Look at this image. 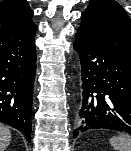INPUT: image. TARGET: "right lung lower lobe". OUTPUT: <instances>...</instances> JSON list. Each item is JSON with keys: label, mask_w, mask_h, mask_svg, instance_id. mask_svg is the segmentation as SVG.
<instances>
[{"label": "right lung lower lobe", "mask_w": 131, "mask_h": 151, "mask_svg": "<svg viewBox=\"0 0 131 151\" xmlns=\"http://www.w3.org/2000/svg\"><path fill=\"white\" fill-rule=\"evenodd\" d=\"M35 33L0 38V122L24 133L28 142L36 72Z\"/></svg>", "instance_id": "obj_1"}]
</instances>
